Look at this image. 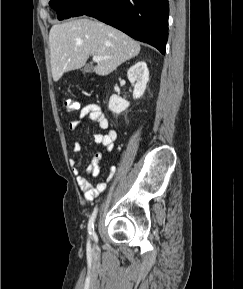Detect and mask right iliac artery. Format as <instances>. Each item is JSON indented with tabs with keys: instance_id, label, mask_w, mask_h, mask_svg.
<instances>
[{
	"instance_id": "82829eb1",
	"label": "right iliac artery",
	"mask_w": 243,
	"mask_h": 289,
	"mask_svg": "<svg viewBox=\"0 0 243 289\" xmlns=\"http://www.w3.org/2000/svg\"><path fill=\"white\" fill-rule=\"evenodd\" d=\"M96 215H97V209H94L90 217L89 223H88V233L90 236H94V222H95Z\"/></svg>"
}]
</instances>
